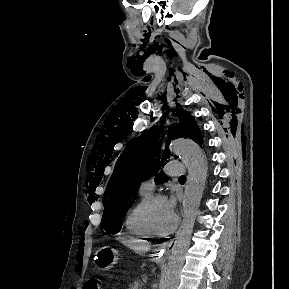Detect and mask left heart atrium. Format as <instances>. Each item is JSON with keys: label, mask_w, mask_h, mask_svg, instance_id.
<instances>
[{"label": "left heart atrium", "mask_w": 289, "mask_h": 289, "mask_svg": "<svg viewBox=\"0 0 289 289\" xmlns=\"http://www.w3.org/2000/svg\"><path fill=\"white\" fill-rule=\"evenodd\" d=\"M166 203L169 212L174 216L175 197L171 196L170 198L166 199Z\"/></svg>", "instance_id": "1"}]
</instances>
